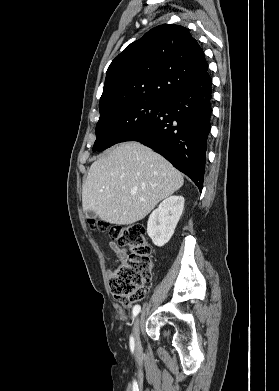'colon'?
Listing matches in <instances>:
<instances>
[{
    "mask_svg": "<svg viewBox=\"0 0 279 391\" xmlns=\"http://www.w3.org/2000/svg\"><path fill=\"white\" fill-rule=\"evenodd\" d=\"M91 224L99 229L107 227L104 222L91 221ZM109 233L118 245L128 249L109 276V288L116 301L130 306L144 298L146 285L152 279L153 248L139 223L111 226Z\"/></svg>",
    "mask_w": 279,
    "mask_h": 391,
    "instance_id": "5ec220e1",
    "label": "colon"
}]
</instances>
